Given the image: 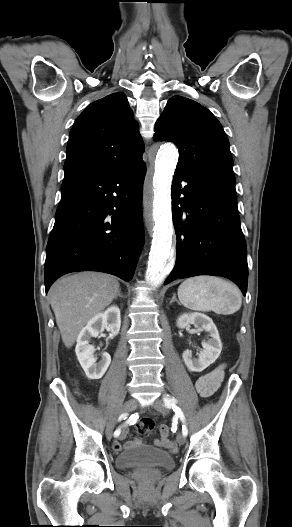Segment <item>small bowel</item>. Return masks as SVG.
I'll use <instances>...</instances> for the list:
<instances>
[{
  "mask_svg": "<svg viewBox=\"0 0 292 527\" xmlns=\"http://www.w3.org/2000/svg\"><path fill=\"white\" fill-rule=\"evenodd\" d=\"M223 376H224L223 366H218L214 368L213 370H211L210 372H208L207 374L201 376L196 381V384H195L196 389L198 393L200 394V396L209 397L213 395L219 388L220 383L223 379ZM159 427H160V432L158 434L159 439H156L154 441V444L157 446L171 447L173 450H176L175 442L170 441L168 439L169 434L171 433V428L168 426L167 422L165 421L160 422ZM120 431H121L120 432L121 435L119 437V440L113 443V448L115 451H121L123 449V445L121 444L120 441L125 439L127 435L126 426L122 427ZM141 443L142 441L139 439L134 440V441H129L125 444V448L129 449L136 445H140Z\"/></svg>",
  "mask_w": 292,
  "mask_h": 527,
  "instance_id": "small-bowel-1",
  "label": "small bowel"
}]
</instances>
